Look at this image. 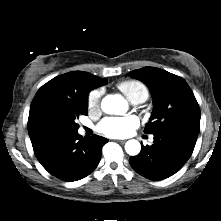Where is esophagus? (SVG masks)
Listing matches in <instances>:
<instances>
[{
    "mask_svg": "<svg viewBox=\"0 0 221 221\" xmlns=\"http://www.w3.org/2000/svg\"><path fill=\"white\" fill-rule=\"evenodd\" d=\"M119 143H125V140H117Z\"/></svg>",
    "mask_w": 221,
    "mask_h": 221,
    "instance_id": "esophagus-1",
    "label": "esophagus"
}]
</instances>
